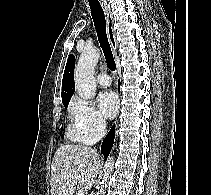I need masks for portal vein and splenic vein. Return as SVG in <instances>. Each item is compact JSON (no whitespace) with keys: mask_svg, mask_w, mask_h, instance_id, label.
I'll return each mask as SVG.
<instances>
[{"mask_svg":"<svg viewBox=\"0 0 211 195\" xmlns=\"http://www.w3.org/2000/svg\"><path fill=\"white\" fill-rule=\"evenodd\" d=\"M80 176H77V180H80ZM77 195H84V191L81 189L78 191Z\"/></svg>","mask_w":211,"mask_h":195,"instance_id":"obj_1","label":"portal vein and splenic vein"}]
</instances>
